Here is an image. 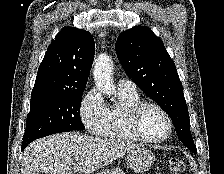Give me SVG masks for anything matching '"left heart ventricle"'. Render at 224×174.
<instances>
[{"label": "left heart ventricle", "instance_id": "1", "mask_svg": "<svg viewBox=\"0 0 224 174\" xmlns=\"http://www.w3.org/2000/svg\"><path fill=\"white\" fill-rule=\"evenodd\" d=\"M140 126L143 133L152 138H159L168 130L164 116L154 108H146L140 118Z\"/></svg>", "mask_w": 224, "mask_h": 174}]
</instances>
